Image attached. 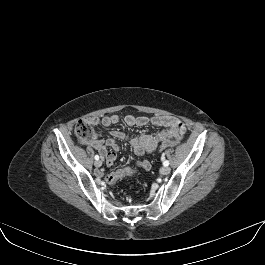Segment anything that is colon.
Masks as SVG:
<instances>
[{"label": "colon", "instance_id": "1", "mask_svg": "<svg viewBox=\"0 0 265 265\" xmlns=\"http://www.w3.org/2000/svg\"><path fill=\"white\" fill-rule=\"evenodd\" d=\"M75 135L82 143H91L96 140L97 134L92 127V124L88 119H81L75 125ZM178 143L177 140H169L163 142L160 146V150H164L169 147H174ZM135 174V171L130 167H124L118 169L106 176V182L110 185L115 184L119 179L123 177H131Z\"/></svg>", "mask_w": 265, "mask_h": 265}]
</instances>
